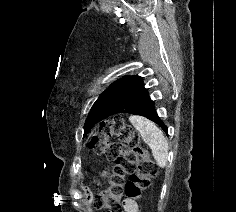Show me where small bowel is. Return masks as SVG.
I'll use <instances>...</instances> for the list:
<instances>
[{
	"mask_svg": "<svg viewBox=\"0 0 236 212\" xmlns=\"http://www.w3.org/2000/svg\"><path fill=\"white\" fill-rule=\"evenodd\" d=\"M124 212H138L137 204L135 201L127 199L124 201Z\"/></svg>",
	"mask_w": 236,
	"mask_h": 212,
	"instance_id": "small-bowel-1",
	"label": "small bowel"
}]
</instances>
